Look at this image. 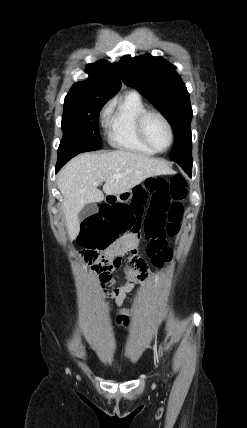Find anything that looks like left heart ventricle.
Returning a JSON list of instances; mask_svg holds the SVG:
<instances>
[{"mask_svg":"<svg viewBox=\"0 0 247 428\" xmlns=\"http://www.w3.org/2000/svg\"><path fill=\"white\" fill-rule=\"evenodd\" d=\"M146 134L150 142L158 149H164L169 143V131L157 116H150L146 121Z\"/></svg>","mask_w":247,"mask_h":428,"instance_id":"1","label":"left heart ventricle"}]
</instances>
